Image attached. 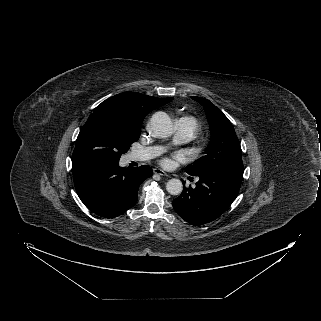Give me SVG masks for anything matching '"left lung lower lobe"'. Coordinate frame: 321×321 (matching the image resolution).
Masks as SVG:
<instances>
[{"mask_svg":"<svg viewBox=\"0 0 321 321\" xmlns=\"http://www.w3.org/2000/svg\"><path fill=\"white\" fill-rule=\"evenodd\" d=\"M243 166H221L196 176V187L186 188L173 200V208L192 225L209 223L222 215L236 199L243 179Z\"/></svg>","mask_w":321,"mask_h":321,"instance_id":"obj_1","label":"left lung lower lobe"}]
</instances>
